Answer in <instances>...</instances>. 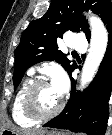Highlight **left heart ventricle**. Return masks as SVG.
I'll use <instances>...</instances> for the list:
<instances>
[{"mask_svg": "<svg viewBox=\"0 0 112 135\" xmlns=\"http://www.w3.org/2000/svg\"><path fill=\"white\" fill-rule=\"evenodd\" d=\"M35 100L39 111L48 113L59 105L61 97L56 94L51 84H46L37 90Z\"/></svg>", "mask_w": 112, "mask_h": 135, "instance_id": "left-heart-ventricle-1", "label": "left heart ventricle"}]
</instances>
